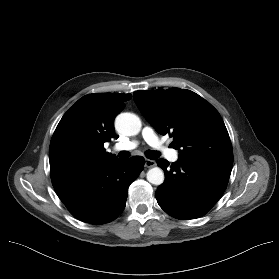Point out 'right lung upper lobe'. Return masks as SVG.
Wrapping results in <instances>:
<instances>
[{
	"label": "right lung upper lobe",
	"mask_w": 279,
	"mask_h": 279,
	"mask_svg": "<svg viewBox=\"0 0 279 279\" xmlns=\"http://www.w3.org/2000/svg\"><path fill=\"white\" fill-rule=\"evenodd\" d=\"M131 97V94H89L64 114L49 148L52 182L80 175L118 159L106 152L104 143L115 136L114 118Z\"/></svg>",
	"instance_id": "1"
}]
</instances>
